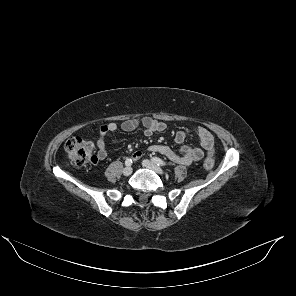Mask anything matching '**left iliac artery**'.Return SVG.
I'll use <instances>...</instances> for the list:
<instances>
[{
	"label": "left iliac artery",
	"instance_id": "obj_1",
	"mask_svg": "<svg viewBox=\"0 0 296 296\" xmlns=\"http://www.w3.org/2000/svg\"><path fill=\"white\" fill-rule=\"evenodd\" d=\"M152 161L157 164L158 166H166V162H164L162 159L158 157H153Z\"/></svg>",
	"mask_w": 296,
	"mask_h": 296
}]
</instances>
